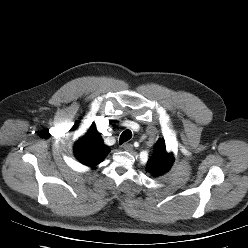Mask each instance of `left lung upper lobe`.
Instances as JSON below:
<instances>
[{
	"label": "left lung upper lobe",
	"mask_w": 248,
	"mask_h": 248,
	"mask_svg": "<svg viewBox=\"0 0 248 248\" xmlns=\"http://www.w3.org/2000/svg\"><path fill=\"white\" fill-rule=\"evenodd\" d=\"M174 162L172 153L166 151L165 141H157L153 149V155L148 160L146 169L154 177L160 176L171 168Z\"/></svg>",
	"instance_id": "5c2ea615"
}]
</instances>
